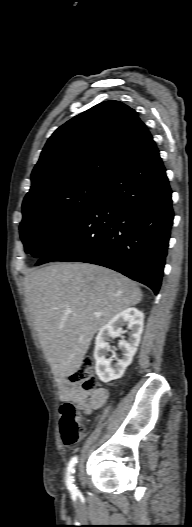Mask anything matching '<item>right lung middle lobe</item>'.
Returning <instances> with one entry per match:
<instances>
[{"mask_svg": "<svg viewBox=\"0 0 192 527\" xmlns=\"http://www.w3.org/2000/svg\"><path fill=\"white\" fill-rule=\"evenodd\" d=\"M105 184L85 180L24 201L20 236L25 252L42 257L84 216Z\"/></svg>", "mask_w": 192, "mask_h": 527, "instance_id": "right-lung-middle-lobe-1", "label": "right lung middle lobe"}]
</instances>
